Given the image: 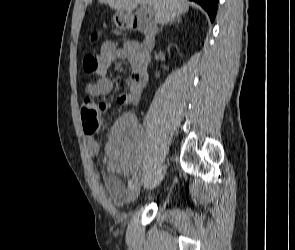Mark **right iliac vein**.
<instances>
[{"label":"right iliac vein","mask_w":295,"mask_h":250,"mask_svg":"<svg viewBox=\"0 0 295 250\" xmlns=\"http://www.w3.org/2000/svg\"><path fill=\"white\" fill-rule=\"evenodd\" d=\"M140 194V184L135 185L127 196L129 203H134Z\"/></svg>","instance_id":"1"}]
</instances>
